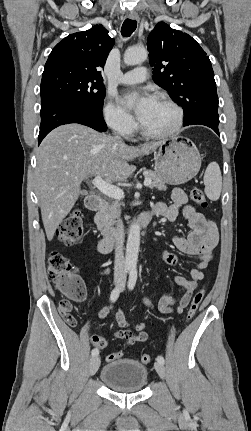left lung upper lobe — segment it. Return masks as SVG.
<instances>
[{"mask_svg":"<svg viewBox=\"0 0 251 431\" xmlns=\"http://www.w3.org/2000/svg\"><path fill=\"white\" fill-rule=\"evenodd\" d=\"M154 82L184 111V123L218 116L214 72L207 54L188 34L159 22L147 38Z\"/></svg>","mask_w":251,"mask_h":431,"instance_id":"left-lung-upper-lobe-1","label":"left lung upper lobe"}]
</instances>
